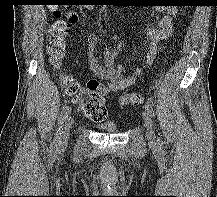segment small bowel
<instances>
[{
    "instance_id": "1",
    "label": "small bowel",
    "mask_w": 217,
    "mask_h": 197,
    "mask_svg": "<svg viewBox=\"0 0 217 197\" xmlns=\"http://www.w3.org/2000/svg\"><path fill=\"white\" fill-rule=\"evenodd\" d=\"M157 10L163 13L158 26L146 29V44L148 47L147 65H152L156 61L159 55L160 42L171 35L174 27L176 8L173 5H164L157 7ZM66 19L69 23L75 24L79 21V15L75 11H68ZM115 41L117 43L116 50L105 49L103 53V65H100L95 56L98 36L92 32L88 35L87 39L89 66L96 76L110 81L108 89L111 92L125 90L132 86L141 73V69L136 68L128 77L123 76L124 67L118 62V54L125 47V44L119 35L115 36Z\"/></svg>"
}]
</instances>
